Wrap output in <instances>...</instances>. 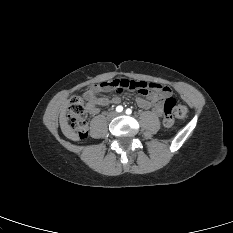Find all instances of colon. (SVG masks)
<instances>
[{
	"instance_id": "1",
	"label": "colon",
	"mask_w": 233,
	"mask_h": 233,
	"mask_svg": "<svg viewBox=\"0 0 233 233\" xmlns=\"http://www.w3.org/2000/svg\"><path fill=\"white\" fill-rule=\"evenodd\" d=\"M104 87L112 89L117 93H121L124 90L137 92H145L147 90L140 81L128 79H116L105 82ZM86 103V99L80 96H74L70 99L68 105V114L72 121L71 134L78 139H84L88 135V125L85 119ZM164 113V125L171 127L175 119L182 120L187 116V108L178 103L176 99L169 97L164 102Z\"/></svg>"
}]
</instances>
